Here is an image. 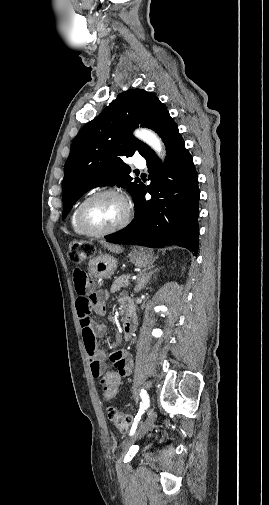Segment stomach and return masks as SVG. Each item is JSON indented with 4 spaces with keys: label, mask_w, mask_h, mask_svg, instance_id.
<instances>
[{
    "label": "stomach",
    "mask_w": 269,
    "mask_h": 505,
    "mask_svg": "<svg viewBox=\"0 0 269 505\" xmlns=\"http://www.w3.org/2000/svg\"><path fill=\"white\" fill-rule=\"evenodd\" d=\"M130 261L137 267H147L155 261L154 255L141 248L134 249L128 255ZM117 268L116 259L108 254L99 255L89 262L90 275L96 279L110 278Z\"/></svg>",
    "instance_id": "stomach-1"
}]
</instances>
